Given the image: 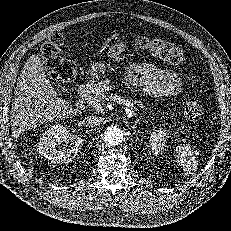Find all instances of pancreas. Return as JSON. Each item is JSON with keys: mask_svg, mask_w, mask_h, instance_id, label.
<instances>
[{"mask_svg": "<svg viewBox=\"0 0 231 231\" xmlns=\"http://www.w3.org/2000/svg\"><path fill=\"white\" fill-rule=\"evenodd\" d=\"M117 86L114 84V81L110 79H105L97 84H94L92 87V92L87 96L86 100L89 104H91L94 107H97L100 103H104L108 100V92L116 89ZM112 95V93H111ZM143 100H132V107L131 109L134 110L136 107H134V104H137L140 108H144V104L142 102Z\"/></svg>", "mask_w": 231, "mask_h": 231, "instance_id": "cf45deb5", "label": "pancreas"}]
</instances>
